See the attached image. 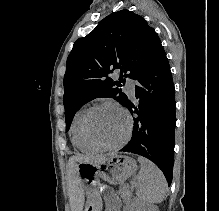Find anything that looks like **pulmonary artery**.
<instances>
[{"label": "pulmonary artery", "mask_w": 219, "mask_h": 211, "mask_svg": "<svg viewBox=\"0 0 219 211\" xmlns=\"http://www.w3.org/2000/svg\"><path fill=\"white\" fill-rule=\"evenodd\" d=\"M126 89L128 90V93L130 94V96L134 97L135 94V87L132 83L127 82L126 83Z\"/></svg>", "instance_id": "e3ab8cb5"}]
</instances>
